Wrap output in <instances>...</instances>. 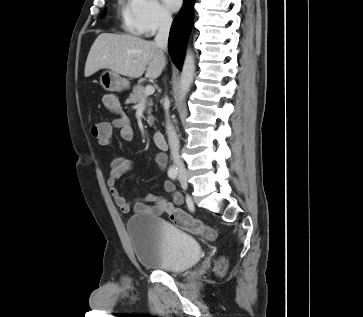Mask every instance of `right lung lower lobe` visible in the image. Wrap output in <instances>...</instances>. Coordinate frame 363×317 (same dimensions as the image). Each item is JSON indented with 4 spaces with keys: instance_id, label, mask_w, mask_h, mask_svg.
Instances as JSON below:
<instances>
[{
    "instance_id": "right-lung-lower-lobe-1",
    "label": "right lung lower lobe",
    "mask_w": 363,
    "mask_h": 317,
    "mask_svg": "<svg viewBox=\"0 0 363 317\" xmlns=\"http://www.w3.org/2000/svg\"><path fill=\"white\" fill-rule=\"evenodd\" d=\"M195 0H184V4L179 14L175 17L169 35V53L175 66L181 70L193 21V6Z\"/></svg>"
}]
</instances>
